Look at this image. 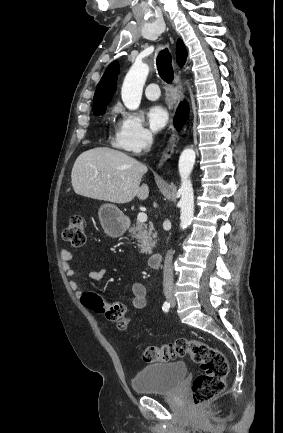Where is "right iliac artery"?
<instances>
[{"label": "right iliac artery", "instance_id": "1", "mask_svg": "<svg viewBox=\"0 0 283 433\" xmlns=\"http://www.w3.org/2000/svg\"><path fill=\"white\" fill-rule=\"evenodd\" d=\"M162 309L163 311L168 312L170 309V303H168L167 301L164 302Z\"/></svg>", "mask_w": 283, "mask_h": 433}]
</instances>
